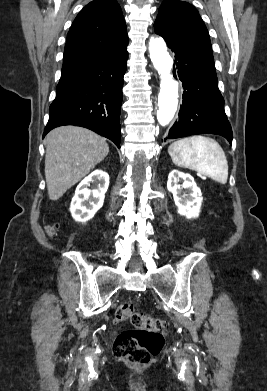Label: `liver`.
Here are the masks:
<instances>
[{"label": "liver", "instance_id": "6515ba94", "mask_svg": "<svg viewBox=\"0 0 267 391\" xmlns=\"http://www.w3.org/2000/svg\"><path fill=\"white\" fill-rule=\"evenodd\" d=\"M45 178L49 198L58 200L109 153L105 139L81 127L63 126L45 138Z\"/></svg>", "mask_w": 267, "mask_h": 391}]
</instances>
